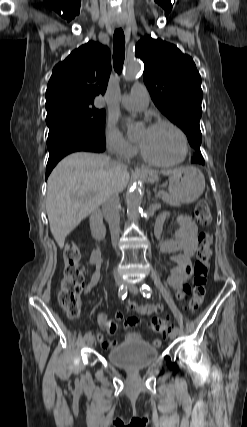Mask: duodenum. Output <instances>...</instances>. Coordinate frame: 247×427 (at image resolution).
I'll use <instances>...</instances> for the list:
<instances>
[{
  "mask_svg": "<svg viewBox=\"0 0 247 427\" xmlns=\"http://www.w3.org/2000/svg\"><path fill=\"white\" fill-rule=\"evenodd\" d=\"M90 227L93 237L97 241H104L106 230L102 221V212L95 210L90 215Z\"/></svg>",
  "mask_w": 247,
  "mask_h": 427,
  "instance_id": "1",
  "label": "duodenum"
}]
</instances>
